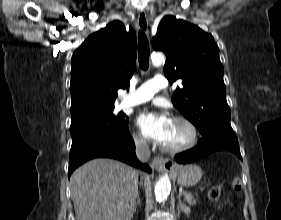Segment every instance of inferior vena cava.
<instances>
[{
	"mask_svg": "<svg viewBox=\"0 0 281 220\" xmlns=\"http://www.w3.org/2000/svg\"><path fill=\"white\" fill-rule=\"evenodd\" d=\"M136 145V156L142 162H147L150 158V149L149 145L144 139L136 138L135 139Z\"/></svg>",
	"mask_w": 281,
	"mask_h": 220,
	"instance_id": "obj_1",
	"label": "inferior vena cava"
}]
</instances>
